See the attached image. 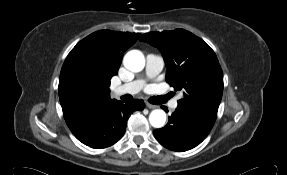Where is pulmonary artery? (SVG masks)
<instances>
[{"label": "pulmonary artery", "mask_w": 287, "mask_h": 175, "mask_svg": "<svg viewBox=\"0 0 287 175\" xmlns=\"http://www.w3.org/2000/svg\"><path fill=\"white\" fill-rule=\"evenodd\" d=\"M164 67V59L160 55L147 54L146 56V68H145V78H140L133 80L129 83L119 85L115 88L114 93L116 95L130 94L134 95L140 92L146 85V80L154 78L157 76ZM171 108L174 110L178 106V101L175 99L171 103Z\"/></svg>", "instance_id": "obj_1"}]
</instances>
